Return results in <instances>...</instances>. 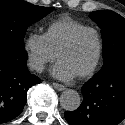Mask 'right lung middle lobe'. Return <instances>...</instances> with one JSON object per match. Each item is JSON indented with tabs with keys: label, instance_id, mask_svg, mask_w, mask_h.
Returning a JSON list of instances; mask_svg holds the SVG:
<instances>
[{
	"label": "right lung middle lobe",
	"instance_id": "obj_1",
	"mask_svg": "<svg viewBox=\"0 0 125 125\" xmlns=\"http://www.w3.org/2000/svg\"><path fill=\"white\" fill-rule=\"evenodd\" d=\"M53 10L23 0H0V40L24 48L27 28Z\"/></svg>",
	"mask_w": 125,
	"mask_h": 125
}]
</instances>
